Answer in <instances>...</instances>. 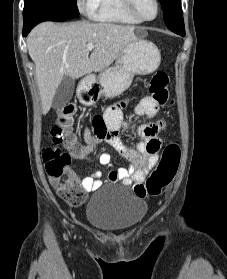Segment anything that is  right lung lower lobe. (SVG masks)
Masks as SVG:
<instances>
[{"mask_svg": "<svg viewBox=\"0 0 227 279\" xmlns=\"http://www.w3.org/2000/svg\"><path fill=\"white\" fill-rule=\"evenodd\" d=\"M23 36H27L31 29L37 24L44 21H64L71 19L69 16L62 15L47 8H39L35 10L29 17L23 18Z\"/></svg>", "mask_w": 227, "mask_h": 279, "instance_id": "98d812e1", "label": "right lung lower lobe"}]
</instances>
